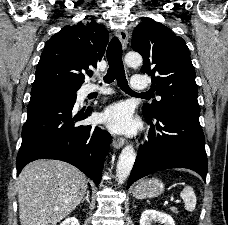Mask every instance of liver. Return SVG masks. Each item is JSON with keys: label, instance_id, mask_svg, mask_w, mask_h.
<instances>
[{"label": "liver", "instance_id": "obj_1", "mask_svg": "<svg viewBox=\"0 0 228 225\" xmlns=\"http://www.w3.org/2000/svg\"><path fill=\"white\" fill-rule=\"evenodd\" d=\"M85 175L62 161H34L18 177L21 225H57L85 197Z\"/></svg>", "mask_w": 228, "mask_h": 225}]
</instances>
